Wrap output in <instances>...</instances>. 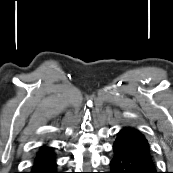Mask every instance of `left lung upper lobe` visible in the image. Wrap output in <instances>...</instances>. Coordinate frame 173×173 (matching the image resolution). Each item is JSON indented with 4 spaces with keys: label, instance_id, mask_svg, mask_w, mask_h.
<instances>
[{
    "label": "left lung upper lobe",
    "instance_id": "1",
    "mask_svg": "<svg viewBox=\"0 0 173 173\" xmlns=\"http://www.w3.org/2000/svg\"><path fill=\"white\" fill-rule=\"evenodd\" d=\"M116 141L150 151V146L143 134L134 128H123L117 135Z\"/></svg>",
    "mask_w": 173,
    "mask_h": 173
}]
</instances>
